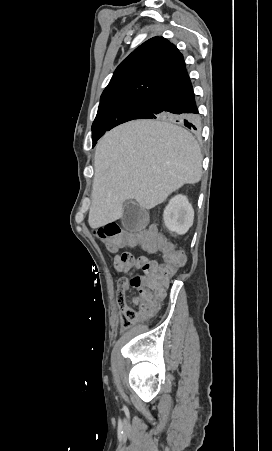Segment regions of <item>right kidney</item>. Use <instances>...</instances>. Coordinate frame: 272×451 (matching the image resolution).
I'll use <instances>...</instances> for the list:
<instances>
[{
    "mask_svg": "<svg viewBox=\"0 0 272 451\" xmlns=\"http://www.w3.org/2000/svg\"><path fill=\"white\" fill-rule=\"evenodd\" d=\"M164 224L170 231L186 233L193 226L194 210L186 196H175L166 206L163 214Z\"/></svg>",
    "mask_w": 272,
    "mask_h": 451,
    "instance_id": "1",
    "label": "right kidney"
}]
</instances>
